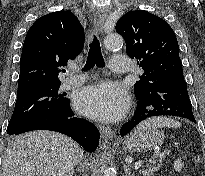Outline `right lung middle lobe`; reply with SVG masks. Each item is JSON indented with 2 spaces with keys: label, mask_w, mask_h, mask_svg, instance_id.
I'll return each instance as SVG.
<instances>
[{
  "label": "right lung middle lobe",
  "mask_w": 205,
  "mask_h": 176,
  "mask_svg": "<svg viewBox=\"0 0 205 176\" xmlns=\"http://www.w3.org/2000/svg\"><path fill=\"white\" fill-rule=\"evenodd\" d=\"M59 86L42 88L17 96L7 133L13 135L52 106L63 105L67 99L58 94Z\"/></svg>",
  "instance_id": "right-lung-middle-lobe-1"
}]
</instances>
